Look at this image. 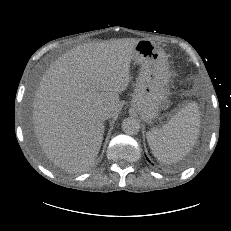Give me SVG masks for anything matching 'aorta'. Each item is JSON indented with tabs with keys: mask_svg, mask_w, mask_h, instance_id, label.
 <instances>
[{
	"mask_svg": "<svg viewBox=\"0 0 231 231\" xmlns=\"http://www.w3.org/2000/svg\"><path fill=\"white\" fill-rule=\"evenodd\" d=\"M122 129L128 135H136L140 131V123L135 118H126L122 122Z\"/></svg>",
	"mask_w": 231,
	"mask_h": 231,
	"instance_id": "obj_1",
	"label": "aorta"
}]
</instances>
